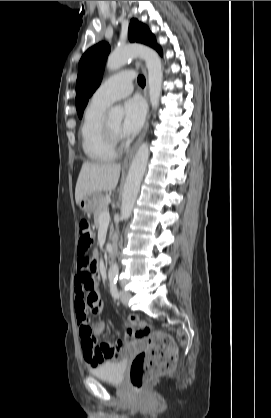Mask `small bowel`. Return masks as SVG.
<instances>
[{"label": "small bowel", "instance_id": "obj_1", "mask_svg": "<svg viewBox=\"0 0 271 418\" xmlns=\"http://www.w3.org/2000/svg\"><path fill=\"white\" fill-rule=\"evenodd\" d=\"M97 258V252L94 253V258L90 255L77 256L74 277L76 322L79 325L84 360L92 367L107 361H115L120 355L130 351L129 339L134 336V331L128 329L124 338L116 344L109 340L98 344V337L105 332V326L102 322L92 327L88 324V312L99 314L103 310V302L97 289V276H99ZM85 328H88L90 332L85 333Z\"/></svg>", "mask_w": 271, "mask_h": 418}]
</instances>
